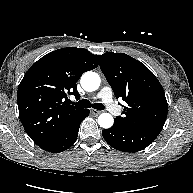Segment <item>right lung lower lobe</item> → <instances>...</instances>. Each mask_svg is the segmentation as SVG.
Segmentation results:
<instances>
[{
	"label": "right lung lower lobe",
	"mask_w": 193,
	"mask_h": 193,
	"mask_svg": "<svg viewBox=\"0 0 193 193\" xmlns=\"http://www.w3.org/2000/svg\"><path fill=\"white\" fill-rule=\"evenodd\" d=\"M89 112V109H84L57 137L41 148L53 153L62 152L70 148L77 139L81 122L89 115Z\"/></svg>",
	"instance_id": "right-lung-lower-lobe-1"
}]
</instances>
